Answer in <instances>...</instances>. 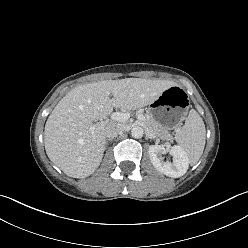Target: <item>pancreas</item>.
<instances>
[{"label": "pancreas", "instance_id": "obj_1", "mask_svg": "<svg viewBox=\"0 0 248 248\" xmlns=\"http://www.w3.org/2000/svg\"><path fill=\"white\" fill-rule=\"evenodd\" d=\"M138 114L144 116L142 111H138ZM143 122L152 131V133L154 135H156L157 137H159L160 139H162V140H171L172 139V136H171L169 130L167 128L161 126L160 124H158L157 122H155L151 118H146L144 116Z\"/></svg>", "mask_w": 248, "mask_h": 248}]
</instances>
